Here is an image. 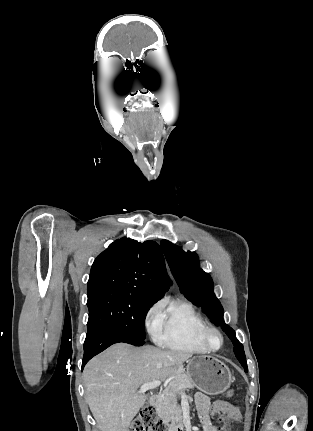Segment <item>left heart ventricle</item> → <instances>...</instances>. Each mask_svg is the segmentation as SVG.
<instances>
[{
  "label": "left heart ventricle",
  "mask_w": 313,
  "mask_h": 431,
  "mask_svg": "<svg viewBox=\"0 0 313 431\" xmlns=\"http://www.w3.org/2000/svg\"><path fill=\"white\" fill-rule=\"evenodd\" d=\"M209 340H210V343H211V345H212L213 347H218V346L220 345V339H219V337H218L216 334H214V333H212V334L210 335Z\"/></svg>",
  "instance_id": "left-heart-ventricle-1"
}]
</instances>
